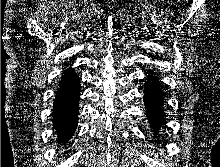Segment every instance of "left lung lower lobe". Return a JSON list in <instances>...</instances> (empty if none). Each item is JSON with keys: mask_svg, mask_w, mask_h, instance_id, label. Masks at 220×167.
<instances>
[{"mask_svg": "<svg viewBox=\"0 0 220 167\" xmlns=\"http://www.w3.org/2000/svg\"><path fill=\"white\" fill-rule=\"evenodd\" d=\"M151 75L145 83V105L147 109V116L153 131L157 129L164 122V111H163V91L160 88L161 84L157 77L153 76L154 72L150 71Z\"/></svg>", "mask_w": 220, "mask_h": 167, "instance_id": "1", "label": "left lung lower lobe"}]
</instances>
